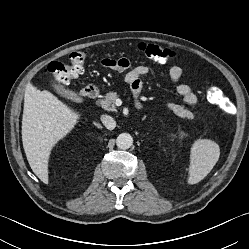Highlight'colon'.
I'll return each instance as SVG.
<instances>
[{"instance_id":"5ec220e1","label":"colon","mask_w":249,"mask_h":249,"mask_svg":"<svg viewBox=\"0 0 249 249\" xmlns=\"http://www.w3.org/2000/svg\"><path fill=\"white\" fill-rule=\"evenodd\" d=\"M138 50L150 60L157 63H167L174 58V52L155 44L140 43ZM87 59L85 51H75L69 55L68 62H52L45 70L56 82L67 83L79 77L84 72V65ZM107 67L118 68L124 63L119 60L108 59L105 61ZM207 99L217 105L223 112H226V100L223 92L216 86L207 88Z\"/></svg>"}]
</instances>
